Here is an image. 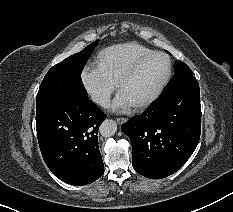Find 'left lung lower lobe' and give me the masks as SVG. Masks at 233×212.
<instances>
[{
	"instance_id": "obj_1",
	"label": "left lung lower lobe",
	"mask_w": 233,
	"mask_h": 212,
	"mask_svg": "<svg viewBox=\"0 0 233 212\" xmlns=\"http://www.w3.org/2000/svg\"><path fill=\"white\" fill-rule=\"evenodd\" d=\"M121 130L132 145L133 167L139 174L160 179L179 170L195 150L201 131L197 81H184L160 97Z\"/></svg>"
}]
</instances>
